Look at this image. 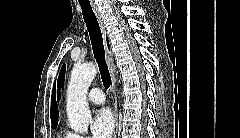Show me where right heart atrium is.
I'll use <instances>...</instances> for the list:
<instances>
[{"mask_svg": "<svg viewBox=\"0 0 240 138\" xmlns=\"http://www.w3.org/2000/svg\"><path fill=\"white\" fill-rule=\"evenodd\" d=\"M69 138H86V137H84V136H82V135H79V134H74V133H72V134H70V137Z\"/></svg>", "mask_w": 240, "mask_h": 138, "instance_id": "d8ad5b80", "label": "right heart atrium"}]
</instances>
